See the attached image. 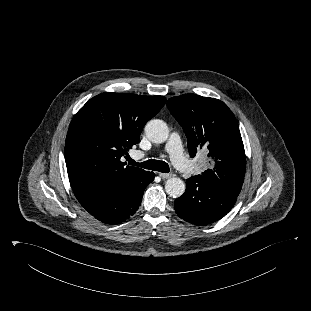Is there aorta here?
<instances>
[{"label":"aorta","instance_id":"obj_1","mask_svg":"<svg viewBox=\"0 0 311 311\" xmlns=\"http://www.w3.org/2000/svg\"><path fill=\"white\" fill-rule=\"evenodd\" d=\"M145 134L151 142L163 143L169 136V129L163 120L153 119L146 124ZM165 190L170 197L178 198L185 192V183L177 177L169 178L165 182Z\"/></svg>","mask_w":311,"mask_h":311}]
</instances>
